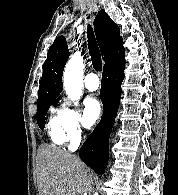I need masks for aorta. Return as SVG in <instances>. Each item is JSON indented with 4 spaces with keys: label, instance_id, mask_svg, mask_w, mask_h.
I'll use <instances>...</instances> for the list:
<instances>
[{
    "label": "aorta",
    "instance_id": "762f6f07",
    "mask_svg": "<svg viewBox=\"0 0 178 195\" xmlns=\"http://www.w3.org/2000/svg\"><path fill=\"white\" fill-rule=\"evenodd\" d=\"M84 63L80 55L74 54L66 64L63 74V85L68 98L77 101L83 87ZM77 104V102H76Z\"/></svg>",
    "mask_w": 178,
    "mask_h": 195
}]
</instances>
